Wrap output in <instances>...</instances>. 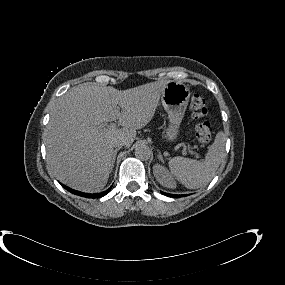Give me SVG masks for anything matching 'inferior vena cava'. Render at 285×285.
Listing matches in <instances>:
<instances>
[{"label":"inferior vena cava","instance_id":"1","mask_svg":"<svg viewBox=\"0 0 285 285\" xmlns=\"http://www.w3.org/2000/svg\"><path fill=\"white\" fill-rule=\"evenodd\" d=\"M126 145V141L124 139H116L114 141V147H122Z\"/></svg>","mask_w":285,"mask_h":285}]
</instances>
